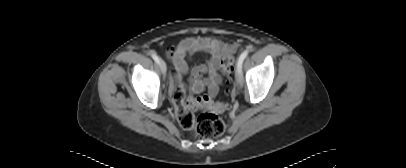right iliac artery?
I'll list each match as a JSON object with an SVG mask.
<instances>
[{
	"instance_id": "82829eb1",
	"label": "right iliac artery",
	"mask_w": 406,
	"mask_h": 168,
	"mask_svg": "<svg viewBox=\"0 0 406 168\" xmlns=\"http://www.w3.org/2000/svg\"><path fill=\"white\" fill-rule=\"evenodd\" d=\"M151 56H152V58L154 59V61H155L157 64L160 65V59H159V57H158L155 53H152Z\"/></svg>"
}]
</instances>
